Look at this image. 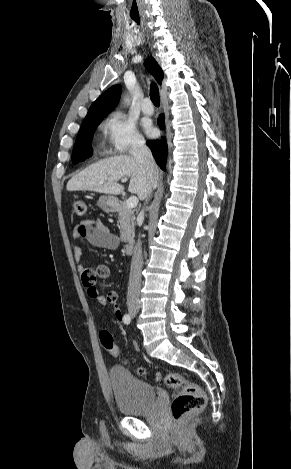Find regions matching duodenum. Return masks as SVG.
I'll return each instance as SVG.
<instances>
[{
	"mask_svg": "<svg viewBox=\"0 0 291 469\" xmlns=\"http://www.w3.org/2000/svg\"><path fill=\"white\" fill-rule=\"evenodd\" d=\"M124 249L127 254H131L134 250V243L132 241H128Z\"/></svg>",
	"mask_w": 291,
	"mask_h": 469,
	"instance_id": "obj_1",
	"label": "duodenum"
}]
</instances>
